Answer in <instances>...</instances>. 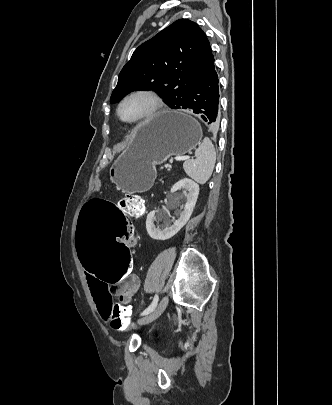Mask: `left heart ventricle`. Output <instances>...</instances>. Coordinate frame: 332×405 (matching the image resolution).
<instances>
[{
    "instance_id": "left-heart-ventricle-1",
    "label": "left heart ventricle",
    "mask_w": 332,
    "mask_h": 405,
    "mask_svg": "<svg viewBox=\"0 0 332 405\" xmlns=\"http://www.w3.org/2000/svg\"><path fill=\"white\" fill-rule=\"evenodd\" d=\"M150 107L151 101L147 97L136 96L123 104L121 115L124 119L133 120L144 115Z\"/></svg>"
}]
</instances>
